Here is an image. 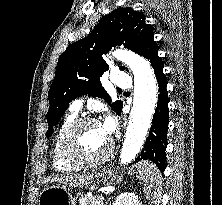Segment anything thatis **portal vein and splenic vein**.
I'll list each match as a JSON object with an SVG mask.
<instances>
[{"instance_id":"1","label":"portal vein and splenic vein","mask_w":222,"mask_h":205,"mask_svg":"<svg viewBox=\"0 0 222 205\" xmlns=\"http://www.w3.org/2000/svg\"><path fill=\"white\" fill-rule=\"evenodd\" d=\"M88 196H92V194L90 193V194H88Z\"/></svg>"}]
</instances>
